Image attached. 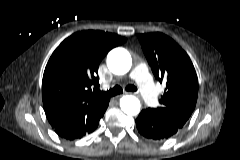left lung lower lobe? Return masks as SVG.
Wrapping results in <instances>:
<instances>
[{"mask_svg": "<svg viewBox=\"0 0 240 160\" xmlns=\"http://www.w3.org/2000/svg\"><path fill=\"white\" fill-rule=\"evenodd\" d=\"M136 127L142 136L155 141H165L181 129L161 117L153 108L141 111L136 119Z\"/></svg>", "mask_w": 240, "mask_h": 160, "instance_id": "1", "label": "left lung lower lobe"}]
</instances>
